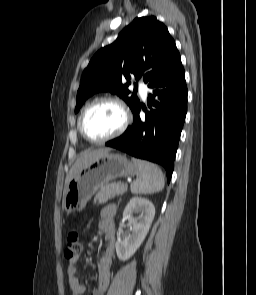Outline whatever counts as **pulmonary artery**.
I'll list each match as a JSON object with an SVG mask.
<instances>
[{"mask_svg": "<svg viewBox=\"0 0 256 295\" xmlns=\"http://www.w3.org/2000/svg\"><path fill=\"white\" fill-rule=\"evenodd\" d=\"M139 90H140V94L143 98H146V95H147V86L140 82L139 83Z\"/></svg>", "mask_w": 256, "mask_h": 295, "instance_id": "pulmonary-artery-1", "label": "pulmonary artery"}]
</instances>
